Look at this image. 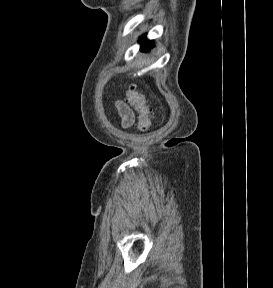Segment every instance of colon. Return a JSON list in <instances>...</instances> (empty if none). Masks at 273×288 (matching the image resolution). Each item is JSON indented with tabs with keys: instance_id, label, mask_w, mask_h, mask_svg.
I'll use <instances>...</instances> for the list:
<instances>
[{
	"instance_id": "obj_1",
	"label": "colon",
	"mask_w": 273,
	"mask_h": 288,
	"mask_svg": "<svg viewBox=\"0 0 273 288\" xmlns=\"http://www.w3.org/2000/svg\"><path fill=\"white\" fill-rule=\"evenodd\" d=\"M126 97L137 112V128L141 132L148 131L152 125V115L145 96L131 86L126 91Z\"/></svg>"
}]
</instances>
